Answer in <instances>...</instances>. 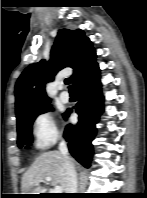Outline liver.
Wrapping results in <instances>:
<instances>
[{
  "label": "liver",
  "instance_id": "6515ba94",
  "mask_svg": "<svg viewBox=\"0 0 147 198\" xmlns=\"http://www.w3.org/2000/svg\"><path fill=\"white\" fill-rule=\"evenodd\" d=\"M46 177H51L52 185L59 184L65 191V161L59 151H47L37 157L22 177V194H40L42 188L39 184L44 182Z\"/></svg>",
  "mask_w": 147,
  "mask_h": 198
}]
</instances>
